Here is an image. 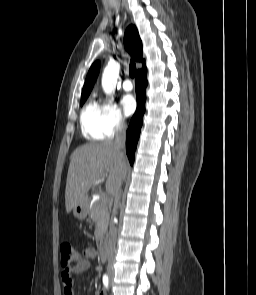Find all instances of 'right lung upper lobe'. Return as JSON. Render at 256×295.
<instances>
[{"instance_id":"obj_1","label":"right lung upper lobe","mask_w":256,"mask_h":295,"mask_svg":"<svg viewBox=\"0 0 256 295\" xmlns=\"http://www.w3.org/2000/svg\"><path fill=\"white\" fill-rule=\"evenodd\" d=\"M124 44L126 49L130 52V54L133 56V58L138 61L143 63V68L139 70L138 72L146 70L145 67V60L142 59V42L139 37L137 28L133 25L129 26L125 32L124 36ZM100 70V62L97 61L95 62L86 77L85 84L82 90V96L89 95L93 85L97 79L98 73Z\"/></svg>"}]
</instances>
